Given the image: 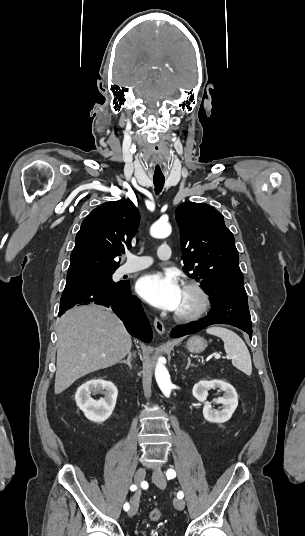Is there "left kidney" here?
Segmentation results:
<instances>
[{
	"label": "left kidney",
	"instance_id": "5707ae66",
	"mask_svg": "<svg viewBox=\"0 0 305 536\" xmlns=\"http://www.w3.org/2000/svg\"><path fill=\"white\" fill-rule=\"evenodd\" d=\"M210 388H220L225 392L223 398H217L213 400L216 404H222L223 410H213L209 402H206L208 392ZM192 394L198 402H203V416L208 422H217V424H223V422H228L232 414H234L238 406V396L235 388L223 380H200L198 384L193 386Z\"/></svg>",
	"mask_w": 305,
	"mask_h": 536
}]
</instances>
